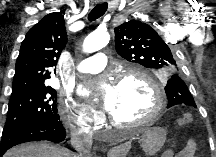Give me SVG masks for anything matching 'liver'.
<instances>
[{
    "mask_svg": "<svg viewBox=\"0 0 216 157\" xmlns=\"http://www.w3.org/2000/svg\"><path fill=\"white\" fill-rule=\"evenodd\" d=\"M130 144H126V149ZM120 148H114L109 152L110 157L118 155ZM74 154L60 145L47 142H35L21 144L11 148L4 157H73Z\"/></svg>",
    "mask_w": 216,
    "mask_h": 157,
    "instance_id": "1",
    "label": "liver"
}]
</instances>
